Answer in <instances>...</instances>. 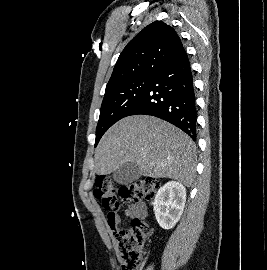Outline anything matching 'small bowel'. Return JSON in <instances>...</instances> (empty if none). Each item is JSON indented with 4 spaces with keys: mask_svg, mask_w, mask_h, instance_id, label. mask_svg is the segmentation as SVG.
I'll list each match as a JSON object with an SVG mask.
<instances>
[{
    "mask_svg": "<svg viewBox=\"0 0 267 270\" xmlns=\"http://www.w3.org/2000/svg\"><path fill=\"white\" fill-rule=\"evenodd\" d=\"M147 216V208L144 204L130 205L123 209L120 215H108L107 225L115 235L119 231V226L123 219H144Z\"/></svg>",
    "mask_w": 267,
    "mask_h": 270,
    "instance_id": "c3829d8e",
    "label": "small bowel"
}]
</instances>
